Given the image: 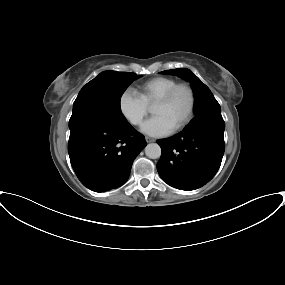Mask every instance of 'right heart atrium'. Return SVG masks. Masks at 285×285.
I'll return each instance as SVG.
<instances>
[{
	"label": "right heart atrium",
	"mask_w": 285,
	"mask_h": 285,
	"mask_svg": "<svg viewBox=\"0 0 285 285\" xmlns=\"http://www.w3.org/2000/svg\"><path fill=\"white\" fill-rule=\"evenodd\" d=\"M118 106L123 118L133 126L141 125L149 112L148 106L139 95L131 89H125L120 94Z\"/></svg>",
	"instance_id": "1"
}]
</instances>
